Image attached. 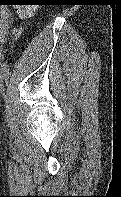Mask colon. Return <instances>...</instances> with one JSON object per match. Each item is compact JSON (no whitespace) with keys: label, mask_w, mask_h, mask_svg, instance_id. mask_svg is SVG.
<instances>
[{"label":"colon","mask_w":121,"mask_h":197,"mask_svg":"<svg viewBox=\"0 0 121 197\" xmlns=\"http://www.w3.org/2000/svg\"><path fill=\"white\" fill-rule=\"evenodd\" d=\"M17 4H15V12L20 18H28L32 16L35 10V0H17ZM15 35H20V29L15 30Z\"/></svg>","instance_id":"1"}]
</instances>
